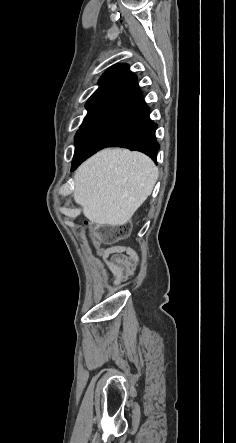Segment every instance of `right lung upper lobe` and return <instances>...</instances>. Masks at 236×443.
<instances>
[{
	"mask_svg": "<svg viewBox=\"0 0 236 443\" xmlns=\"http://www.w3.org/2000/svg\"><path fill=\"white\" fill-rule=\"evenodd\" d=\"M137 82V77L129 70L127 64H117L109 68L99 80V88L88 102L106 100L107 98L129 89Z\"/></svg>",
	"mask_w": 236,
	"mask_h": 443,
	"instance_id": "1",
	"label": "right lung upper lobe"
}]
</instances>
